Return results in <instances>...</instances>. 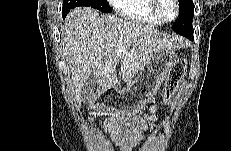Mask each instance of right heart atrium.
Segmentation results:
<instances>
[{"instance_id":"1","label":"right heart atrium","mask_w":231,"mask_h":151,"mask_svg":"<svg viewBox=\"0 0 231 151\" xmlns=\"http://www.w3.org/2000/svg\"><path fill=\"white\" fill-rule=\"evenodd\" d=\"M118 1H120V0H115V1H113L114 3H117Z\"/></svg>"}]
</instances>
